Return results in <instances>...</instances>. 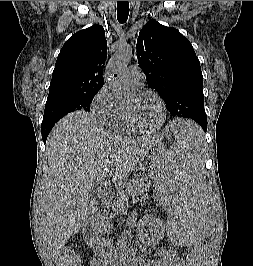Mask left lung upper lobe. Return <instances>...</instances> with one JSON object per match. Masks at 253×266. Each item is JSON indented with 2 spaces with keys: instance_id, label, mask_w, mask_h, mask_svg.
<instances>
[{
  "instance_id": "obj_1",
  "label": "left lung upper lobe",
  "mask_w": 253,
  "mask_h": 266,
  "mask_svg": "<svg viewBox=\"0 0 253 266\" xmlns=\"http://www.w3.org/2000/svg\"><path fill=\"white\" fill-rule=\"evenodd\" d=\"M136 57L148 85L156 89L173 117L207 127L200 62L178 30L149 20L136 39Z\"/></svg>"
}]
</instances>
